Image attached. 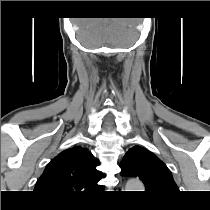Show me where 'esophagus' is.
I'll list each match as a JSON object with an SVG mask.
<instances>
[{"instance_id": "34e87169", "label": "esophagus", "mask_w": 210, "mask_h": 210, "mask_svg": "<svg viewBox=\"0 0 210 210\" xmlns=\"http://www.w3.org/2000/svg\"><path fill=\"white\" fill-rule=\"evenodd\" d=\"M118 187H120V188H121V187H123V185L120 183V185H119Z\"/></svg>"}]
</instances>
